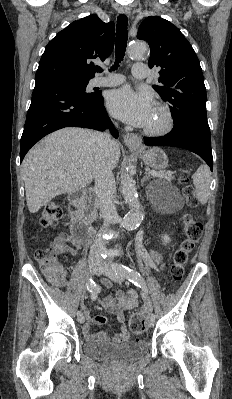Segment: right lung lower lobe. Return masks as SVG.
Segmentation results:
<instances>
[{
  "instance_id": "98d812e1",
  "label": "right lung lower lobe",
  "mask_w": 232,
  "mask_h": 399,
  "mask_svg": "<svg viewBox=\"0 0 232 399\" xmlns=\"http://www.w3.org/2000/svg\"><path fill=\"white\" fill-rule=\"evenodd\" d=\"M69 126L100 131L109 128L112 135L118 137L103 105L101 92L85 95L77 86L62 79L36 80L21 137V162L42 137Z\"/></svg>"
}]
</instances>
